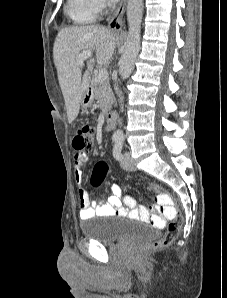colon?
<instances>
[{
	"instance_id": "obj_1",
	"label": "colon",
	"mask_w": 227,
	"mask_h": 298,
	"mask_svg": "<svg viewBox=\"0 0 227 298\" xmlns=\"http://www.w3.org/2000/svg\"><path fill=\"white\" fill-rule=\"evenodd\" d=\"M95 128L91 125L84 124L77 127L72 135V146L74 150L92 149L95 139ZM107 173V164L105 162L98 163L92 173L91 183L93 186L100 185ZM150 193H156L157 205L154 206V215L149 218V222L156 228L165 225V219L170 220L165 233L159 239L146 243L141 247L142 253H148L156 249L165 247L173 243L179 236L183 226V215L174 206L172 197L161 191L158 184H151Z\"/></svg>"
}]
</instances>
